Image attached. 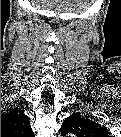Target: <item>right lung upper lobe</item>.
I'll use <instances>...</instances> for the list:
<instances>
[{
	"label": "right lung upper lobe",
	"instance_id": "obj_1",
	"mask_svg": "<svg viewBox=\"0 0 121 137\" xmlns=\"http://www.w3.org/2000/svg\"><path fill=\"white\" fill-rule=\"evenodd\" d=\"M30 131V122L20 109H10L1 115V135H16Z\"/></svg>",
	"mask_w": 121,
	"mask_h": 137
}]
</instances>
